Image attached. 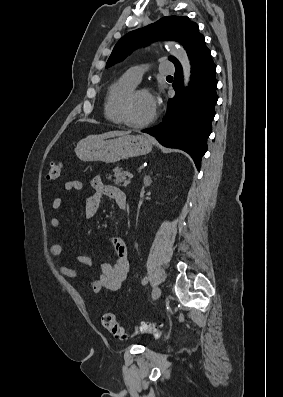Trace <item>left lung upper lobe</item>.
<instances>
[{
	"mask_svg": "<svg viewBox=\"0 0 283 397\" xmlns=\"http://www.w3.org/2000/svg\"><path fill=\"white\" fill-rule=\"evenodd\" d=\"M155 40H173L181 43L188 56L205 44V38L199 33L198 25L188 17H163L154 24L132 31L123 36L115 45L106 68L123 60L132 50ZM174 65L180 64L175 57H169Z\"/></svg>",
	"mask_w": 283,
	"mask_h": 397,
	"instance_id": "obj_1",
	"label": "left lung upper lobe"
}]
</instances>
